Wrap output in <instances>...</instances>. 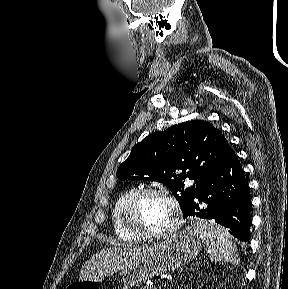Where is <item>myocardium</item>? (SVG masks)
Instances as JSON below:
<instances>
[{
    "instance_id": "1",
    "label": "myocardium",
    "mask_w": 288,
    "mask_h": 289,
    "mask_svg": "<svg viewBox=\"0 0 288 289\" xmlns=\"http://www.w3.org/2000/svg\"><path fill=\"white\" fill-rule=\"evenodd\" d=\"M146 196H154L162 198L167 201L171 206L173 212V219L171 224L158 232L148 233L137 228L132 221V211L137 202ZM181 209L177 200L170 195L168 192L155 189L151 187H146L137 190L122 206L121 209V222L123 227L128 231L132 236L136 237L139 240H159L171 236L179 227L180 224Z\"/></svg>"
}]
</instances>
